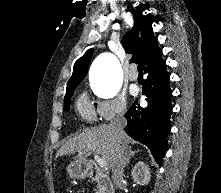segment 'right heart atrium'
<instances>
[{"label": "right heart atrium", "mask_w": 221, "mask_h": 193, "mask_svg": "<svg viewBox=\"0 0 221 193\" xmlns=\"http://www.w3.org/2000/svg\"><path fill=\"white\" fill-rule=\"evenodd\" d=\"M126 111V98L121 94H116L108 99H100L95 106L96 115L105 122L123 116Z\"/></svg>", "instance_id": "1"}]
</instances>
